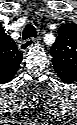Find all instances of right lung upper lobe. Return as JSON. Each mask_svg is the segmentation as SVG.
<instances>
[{
    "mask_svg": "<svg viewBox=\"0 0 77 125\" xmlns=\"http://www.w3.org/2000/svg\"><path fill=\"white\" fill-rule=\"evenodd\" d=\"M23 59L15 42L4 32L0 31V83L12 80Z\"/></svg>",
    "mask_w": 77,
    "mask_h": 125,
    "instance_id": "obj_1",
    "label": "right lung upper lobe"
}]
</instances>
